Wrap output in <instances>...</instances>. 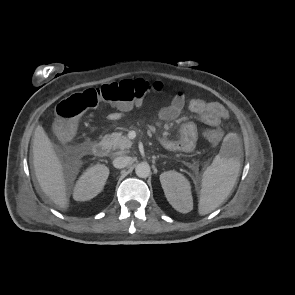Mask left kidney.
<instances>
[{"instance_id":"left-kidney-1","label":"left kidney","mask_w":295,"mask_h":295,"mask_svg":"<svg viewBox=\"0 0 295 295\" xmlns=\"http://www.w3.org/2000/svg\"><path fill=\"white\" fill-rule=\"evenodd\" d=\"M160 182L170 205L181 213L193 208L191 186L184 175L176 171H167L160 175Z\"/></svg>"}]
</instances>
